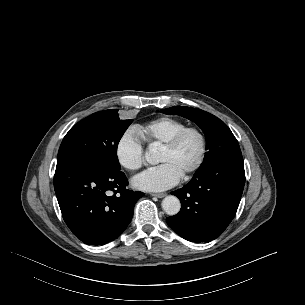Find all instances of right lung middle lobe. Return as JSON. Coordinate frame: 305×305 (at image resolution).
Listing matches in <instances>:
<instances>
[{"instance_id": "right-lung-middle-lobe-1", "label": "right lung middle lobe", "mask_w": 305, "mask_h": 305, "mask_svg": "<svg viewBox=\"0 0 305 305\" xmlns=\"http://www.w3.org/2000/svg\"><path fill=\"white\" fill-rule=\"evenodd\" d=\"M133 120H120L118 109L96 112L75 124L65 135L57 166L93 165L120 170L117 146Z\"/></svg>"}]
</instances>
